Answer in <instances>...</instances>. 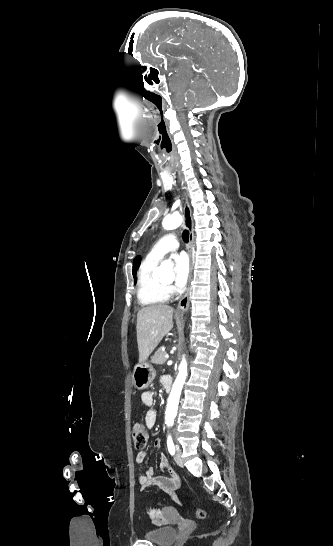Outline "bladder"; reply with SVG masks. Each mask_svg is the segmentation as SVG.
<instances>
[{
    "instance_id": "bladder-1",
    "label": "bladder",
    "mask_w": 333,
    "mask_h": 546,
    "mask_svg": "<svg viewBox=\"0 0 333 546\" xmlns=\"http://www.w3.org/2000/svg\"><path fill=\"white\" fill-rule=\"evenodd\" d=\"M177 530L172 526H161L145 533V539L158 545H167L176 540Z\"/></svg>"
}]
</instances>
